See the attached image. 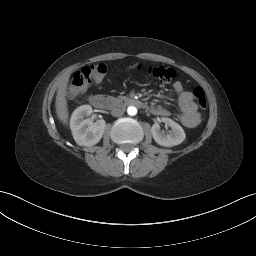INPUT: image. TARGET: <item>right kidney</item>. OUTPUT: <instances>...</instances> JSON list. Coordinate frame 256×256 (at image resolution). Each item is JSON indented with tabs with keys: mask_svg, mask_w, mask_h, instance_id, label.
I'll return each mask as SVG.
<instances>
[{
	"mask_svg": "<svg viewBox=\"0 0 256 256\" xmlns=\"http://www.w3.org/2000/svg\"><path fill=\"white\" fill-rule=\"evenodd\" d=\"M93 112L90 105H82L74 110L70 119V128L73 138L79 146H93L97 144L106 127L103 119L93 122L91 119H85Z\"/></svg>",
	"mask_w": 256,
	"mask_h": 256,
	"instance_id": "obj_1",
	"label": "right kidney"
}]
</instances>
